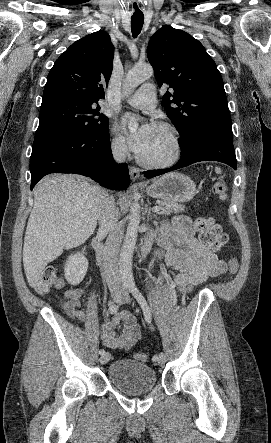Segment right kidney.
I'll list each match as a JSON object with an SVG mask.
<instances>
[{
  "mask_svg": "<svg viewBox=\"0 0 271 443\" xmlns=\"http://www.w3.org/2000/svg\"><path fill=\"white\" fill-rule=\"evenodd\" d=\"M87 267L88 259L83 253L78 251L75 255H69L64 267L65 279H67L71 285H78V283L82 281Z\"/></svg>",
  "mask_w": 271,
  "mask_h": 443,
  "instance_id": "obj_1",
  "label": "right kidney"
}]
</instances>
